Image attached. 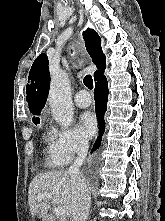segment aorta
<instances>
[{
    "instance_id": "aorta-1",
    "label": "aorta",
    "mask_w": 165,
    "mask_h": 221,
    "mask_svg": "<svg viewBox=\"0 0 165 221\" xmlns=\"http://www.w3.org/2000/svg\"><path fill=\"white\" fill-rule=\"evenodd\" d=\"M48 101L55 121L66 128L73 121L74 108L68 75L60 71L51 77Z\"/></svg>"
}]
</instances>
